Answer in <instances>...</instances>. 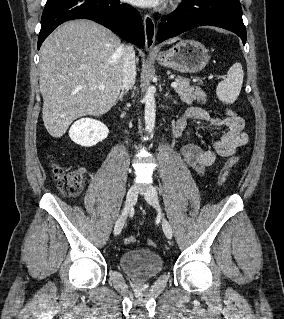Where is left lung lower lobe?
I'll list each match as a JSON object with an SVG mask.
<instances>
[{
	"mask_svg": "<svg viewBox=\"0 0 284 319\" xmlns=\"http://www.w3.org/2000/svg\"><path fill=\"white\" fill-rule=\"evenodd\" d=\"M204 25L232 31L242 39L243 44L246 42L239 0H184L175 12L162 17L157 38L162 42Z\"/></svg>",
	"mask_w": 284,
	"mask_h": 319,
	"instance_id": "1",
	"label": "left lung lower lobe"
}]
</instances>
